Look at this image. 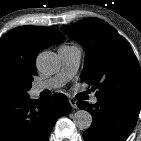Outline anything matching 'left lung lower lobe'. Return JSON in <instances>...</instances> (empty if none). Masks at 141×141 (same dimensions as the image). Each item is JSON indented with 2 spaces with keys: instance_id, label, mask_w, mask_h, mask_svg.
I'll return each instance as SVG.
<instances>
[{
  "instance_id": "obj_1",
  "label": "left lung lower lobe",
  "mask_w": 141,
  "mask_h": 141,
  "mask_svg": "<svg viewBox=\"0 0 141 141\" xmlns=\"http://www.w3.org/2000/svg\"><path fill=\"white\" fill-rule=\"evenodd\" d=\"M77 106L93 117L83 133L85 141H125L136 125L141 102L98 98L94 105L79 101Z\"/></svg>"
}]
</instances>
